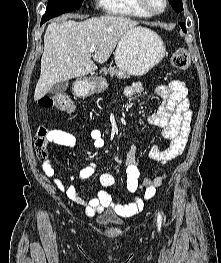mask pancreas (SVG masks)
Instances as JSON below:
<instances>
[{"mask_svg":"<svg viewBox=\"0 0 221 263\" xmlns=\"http://www.w3.org/2000/svg\"><path fill=\"white\" fill-rule=\"evenodd\" d=\"M100 73H103L104 75L109 74L111 77L115 76L119 79H125L130 77L128 73L123 72L121 70H117L114 67L103 68L101 69Z\"/></svg>","mask_w":221,"mask_h":263,"instance_id":"obj_1","label":"pancreas"}]
</instances>
